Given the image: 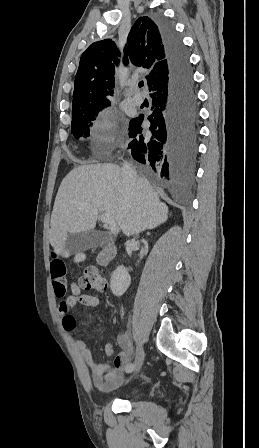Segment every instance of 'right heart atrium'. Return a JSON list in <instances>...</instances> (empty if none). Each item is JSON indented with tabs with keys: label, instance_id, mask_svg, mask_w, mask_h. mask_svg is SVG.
<instances>
[{
	"label": "right heart atrium",
	"instance_id": "obj_1",
	"mask_svg": "<svg viewBox=\"0 0 259 448\" xmlns=\"http://www.w3.org/2000/svg\"><path fill=\"white\" fill-rule=\"evenodd\" d=\"M89 146L102 152H112L117 146L118 137L113 120L97 116L89 129Z\"/></svg>",
	"mask_w": 259,
	"mask_h": 448
}]
</instances>
